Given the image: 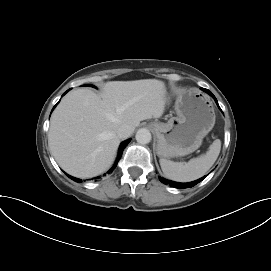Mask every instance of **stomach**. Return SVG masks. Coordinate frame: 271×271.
I'll return each instance as SVG.
<instances>
[{
  "label": "stomach",
  "mask_w": 271,
  "mask_h": 271,
  "mask_svg": "<svg viewBox=\"0 0 271 271\" xmlns=\"http://www.w3.org/2000/svg\"><path fill=\"white\" fill-rule=\"evenodd\" d=\"M172 96L166 93V104ZM176 117L167 123L153 122L157 136L156 152L161 158L188 155L197 150L215 124V111L210 98L201 90H182L175 96Z\"/></svg>",
  "instance_id": "obj_1"
}]
</instances>
